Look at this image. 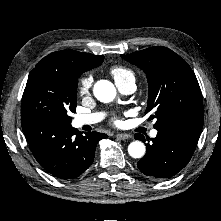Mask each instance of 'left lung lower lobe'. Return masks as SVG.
<instances>
[{
    "label": "left lung lower lobe",
    "instance_id": "left-lung-lower-lobe-1",
    "mask_svg": "<svg viewBox=\"0 0 221 221\" xmlns=\"http://www.w3.org/2000/svg\"><path fill=\"white\" fill-rule=\"evenodd\" d=\"M202 126L173 124L158 130L152 144H147L145 156L137 163L139 170L153 179H164L177 174L190 161ZM145 138L141 134L134 136Z\"/></svg>",
    "mask_w": 221,
    "mask_h": 221
}]
</instances>
